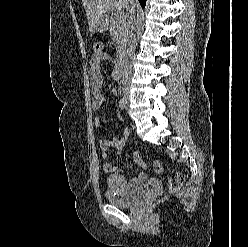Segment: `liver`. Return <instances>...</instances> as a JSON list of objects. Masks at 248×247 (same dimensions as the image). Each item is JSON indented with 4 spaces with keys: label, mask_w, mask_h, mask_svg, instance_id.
Instances as JSON below:
<instances>
[{
    "label": "liver",
    "mask_w": 248,
    "mask_h": 247,
    "mask_svg": "<svg viewBox=\"0 0 248 247\" xmlns=\"http://www.w3.org/2000/svg\"><path fill=\"white\" fill-rule=\"evenodd\" d=\"M88 23L89 30L92 31L98 20L109 10L121 12L127 4V0H82Z\"/></svg>",
    "instance_id": "1"
}]
</instances>
